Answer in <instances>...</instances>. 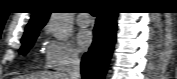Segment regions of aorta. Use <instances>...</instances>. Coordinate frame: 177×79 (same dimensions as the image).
Masks as SVG:
<instances>
[{"instance_id": "obj_1", "label": "aorta", "mask_w": 177, "mask_h": 79, "mask_svg": "<svg viewBox=\"0 0 177 79\" xmlns=\"http://www.w3.org/2000/svg\"><path fill=\"white\" fill-rule=\"evenodd\" d=\"M49 26L60 41H67L72 32V13H52Z\"/></svg>"}]
</instances>
